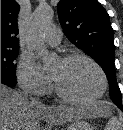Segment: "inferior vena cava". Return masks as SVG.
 Segmentation results:
<instances>
[{
  "label": "inferior vena cava",
  "mask_w": 123,
  "mask_h": 130,
  "mask_svg": "<svg viewBox=\"0 0 123 130\" xmlns=\"http://www.w3.org/2000/svg\"><path fill=\"white\" fill-rule=\"evenodd\" d=\"M38 103H40L38 99L31 98V104H38Z\"/></svg>",
  "instance_id": "obj_1"
}]
</instances>
